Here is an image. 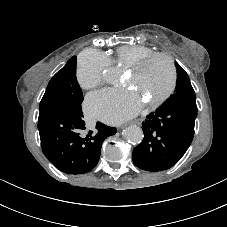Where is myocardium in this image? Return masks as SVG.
Instances as JSON below:
<instances>
[{
	"mask_svg": "<svg viewBox=\"0 0 227 227\" xmlns=\"http://www.w3.org/2000/svg\"><path fill=\"white\" fill-rule=\"evenodd\" d=\"M156 58H164L169 63V66L171 69V74H172V79H171L170 86L160 97H158L155 100L147 102V104L149 106H158V105L162 104L174 92V90L177 86L178 73H177V68H176L173 58L166 53L155 52V53L149 54L147 56H144L143 58L139 59L137 62H135L134 64H132L131 66L128 67L129 72L138 73V72L142 71L151 61H153Z\"/></svg>",
	"mask_w": 227,
	"mask_h": 227,
	"instance_id": "myocardium-1",
	"label": "myocardium"
}]
</instances>
